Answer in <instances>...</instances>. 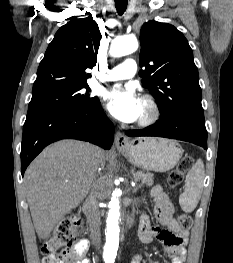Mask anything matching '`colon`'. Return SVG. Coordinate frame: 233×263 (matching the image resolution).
Here are the masks:
<instances>
[{
  "label": "colon",
  "mask_w": 233,
  "mask_h": 263,
  "mask_svg": "<svg viewBox=\"0 0 233 263\" xmlns=\"http://www.w3.org/2000/svg\"><path fill=\"white\" fill-rule=\"evenodd\" d=\"M192 164L193 157L186 155L178 167L169 174L167 178L168 186L175 188L182 181L184 173L191 168ZM177 220L183 229H189L192 225L191 217L185 213H179ZM80 223V216L73 214L57 225L56 229L42 244L43 263H76L80 259L78 255V246L80 244L78 228Z\"/></svg>",
  "instance_id": "1"
}]
</instances>
